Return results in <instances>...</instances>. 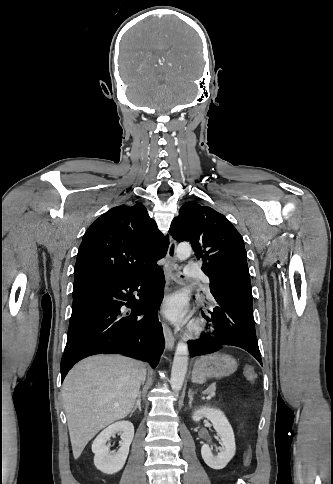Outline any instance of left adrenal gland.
Returning <instances> with one entry per match:
<instances>
[{"mask_svg": "<svg viewBox=\"0 0 333 484\" xmlns=\"http://www.w3.org/2000/svg\"><path fill=\"white\" fill-rule=\"evenodd\" d=\"M196 394V392H193L191 389L188 391V397H189V406L191 407L192 401H193V396Z\"/></svg>", "mask_w": 333, "mask_h": 484, "instance_id": "left-adrenal-gland-1", "label": "left adrenal gland"}]
</instances>
